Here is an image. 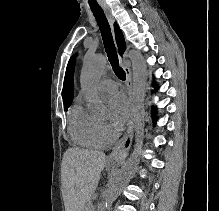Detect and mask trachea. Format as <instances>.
<instances>
[{"mask_svg":"<svg viewBox=\"0 0 219 211\" xmlns=\"http://www.w3.org/2000/svg\"><path fill=\"white\" fill-rule=\"evenodd\" d=\"M90 8L99 26L107 57L114 70V73L116 74V76H118L120 80H125L126 74L125 71L119 66L118 56L113 42V37L108 20L99 5H90Z\"/></svg>","mask_w":219,"mask_h":211,"instance_id":"trachea-1","label":"trachea"}]
</instances>
